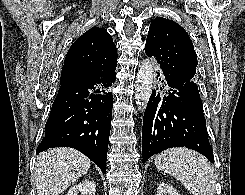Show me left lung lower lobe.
Here are the masks:
<instances>
[{"label": "left lung lower lobe", "instance_id": "left-lung-lower-lobe-1", "mask_svg": "<svg viewBox=\"0 0 245 195\" xmlns=\"http://www.w3.org/2000/svg\"><path fill=\"white\" fill-rule=\"evenodd\" d=\"M158 78L163 83L160 90L166 89V95L153 90L146 107L142 128L143 163L172 147L193 149L214 163L197 84L174 79L162 70L157 72Z\"/></svg>", "mask_w": 245, "mask_h": 195}]
</instances>
